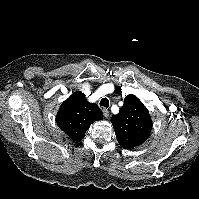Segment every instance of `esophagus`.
<instances>
[{
  "mask_svg": "<svg viewBox=\"0 0 199 199\" xmlns=\"http://www.w3.org/2000/svg\"><path fill=\"white\" fill-rule=\"evenodd\" d=\"M104 116L107 118L109 116V111L106 108L102 109Z\"/></svg>",
  "mask_w": 199,
  "mask_h": 199,
  "instance_id": "obj_1",
  "label": "esophagus"
}]
</instances>
